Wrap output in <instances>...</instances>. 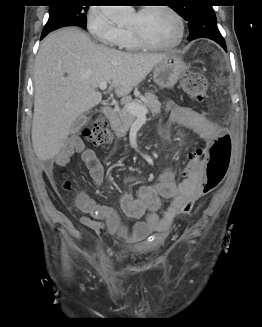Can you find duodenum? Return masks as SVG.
Wrapping results in <instances>:
<instances>
[{
	"label": "duodenum",
	"instance_id": "410a0bca",
	"mask_svg": "<svg viewBox=\"0 0 262 327\" xmlns=\"http://www.w3.org/2000/svg\"><path fill=\"white\" fill-rule=\"evenodd\" d=\"M102 111H103L104 115L107 116L108 118L115 117V115L117 113L115 107L112 106V105H106V106H104L103 109H102Z\"/></svg>",
	"mask_w": 262,
	"mask_h": 327
}]
</instances>
